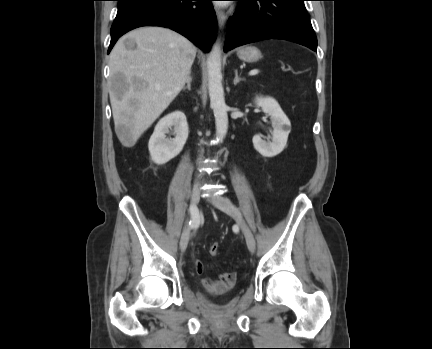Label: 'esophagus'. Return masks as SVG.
I'll return each mask as SVG.
<instances>
[{"instance_id": "1", "label": "esophagus", "mask_w": 432, "mask_h": 349, "mask_svg": "<svg viewBox=\"0 0 432 349\" xmlns=\"http://www.w3.org/2000/svg\"><path fill=\"white\" fill-rule=\"evenodd\" d=\"M215 12H216L219 28L223 29L227 20V16L225 12L219 7L215 8Z\"/></svg>"}]
</instances>
